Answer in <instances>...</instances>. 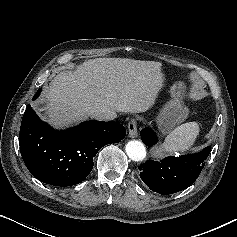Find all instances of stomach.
<instances>
[{"instance_id":"obj_1","label":"stomach","mask_w":237,"mask_h":237,"mask_svg":"<svg viewBox=\"0 0 237 237\" xmlns=\"http://www.w3.org/2000/svg\"><path fill=\"white\" fill-rule=\"evenodd\" d=\"M170 94L171 99L163 106L157 117L159 130L163 134L182 123L189 114L188 108L183 104L184 83L179 81L173 84Z\"/></svg>"}]
</instances>
